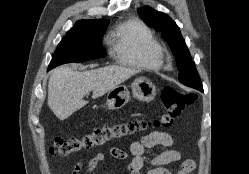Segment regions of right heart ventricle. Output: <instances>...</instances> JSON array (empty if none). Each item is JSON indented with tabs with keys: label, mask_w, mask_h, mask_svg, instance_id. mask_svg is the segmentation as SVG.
I'll list each match as a JSON object with an SVG mask.
<instances>
[{
	"label": "right heart ventricle",
	"mask_w": 249,
	"mask_h": 174,
	"mask_svg": "<svg viewBox=\"0 0 249 174\" xmlns=\"http://www.w3.org/2000/svg\"><path fill=\"white\" fill-rule=\"evenodd\" d=\"M112 54L124 66L156 70L162 65V50L152 31L138 19H127L112 32Z\"/></svg>",
	"instance_id": "e07e8e85"
}]
</instances>
